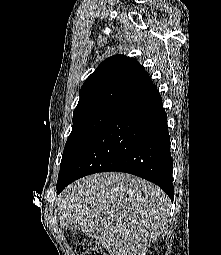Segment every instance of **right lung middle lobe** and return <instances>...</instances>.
I'll list each match as a JSON object with an SVG mask.
<instances>
[{
  "mask_svg": "<svg viewBox=\"0 0 221 255\" xmlns=\"http://www.w3.org/2000/svg\"><path fill=\"white\" fill-rule=\"evenodd\" d=\"M117 108L118 106H102L74 114L72 132L64 148L58 181L66 176Z\"/></svg>",
  "mask_w": 221,
  "mask_h": 255,
  "instance_id": "dd1d6c3e",
  "label": "right lung middle lobe"
}]
</instances>
